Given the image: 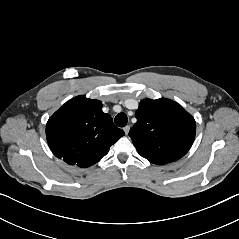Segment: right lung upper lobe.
I'll return each instance as SVG.
<instances>
[{
  "label": "right lung upper lobe",
  "instance_id": "right-lung-upper-lobe-1",
  "mask_svg": "<svg viewBox=\"0 0 239 239\" xmlns=\"http://www.w3.org/2000/svg\"><path fill=\"white\" fill-rule=\"evenodd\" d=\"M124 134L102 111L99 100L85 96L66 102L46 125L47 142L54 155L81 168L97 163Z\"/></svg>",
  "mask_w": 239,
  "mask_h": 239
}]
</instances>
